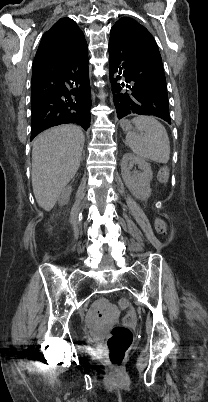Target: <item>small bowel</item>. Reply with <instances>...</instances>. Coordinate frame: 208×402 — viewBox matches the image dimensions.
Segmentation results:
<instances>
[{
  "instance_id": "c3829d8e",
  "label": "small bowel",
  "mask_w": 208,
  "mask_h": 402,
  "mask_svg": "<svg viewBox=\"0 0 208 402\" xmlns=\"http://www.w3.org/2000/svg\"><path fill=\"white\" fill-rule=\"evenodd\" d=\"M95 308L100 311V316L98 318L92 309L87 310L86 315L89 317V322H87L86 327L89 330H103L106 324L110 323L111 318L114 316V311L111 309V305L105 300L96 303Z\"/></svg>"
}]
</instances>
